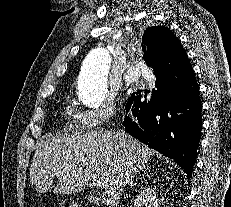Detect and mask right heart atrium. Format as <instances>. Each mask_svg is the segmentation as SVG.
Here are the masks:
<instances>
[{
  "mask_svg": "<svg viewBox=\"0 0 231 207\" xmlns=\"http://www.w3.org/2000/svg\"><path fill=\"white\" fill-rule=\"evenodd\" d=\"M115 113L113 102H107L97 109L82 110L76 113L78 127L94 129L110 120Z\"/></svg>",
  "mask_w": 231,
  "mask_h": 207,
  "instance_id": "right-heart-atrium-1",
  "label": "right heart atrium"
}]
</instances>
